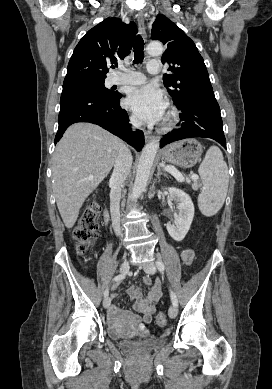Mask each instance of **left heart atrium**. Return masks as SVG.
I'll list each match as a JSON object with an SVG mask.
<instances>
[{
	"mask_svg": "<svg viewBox=\"0 0 272 389\" xmlns=\"http://www.w3.org/2000/svg\"><path fill=\"white\" fill-rule=\"evenodd\" d=\"M125 104L140 120L148 123L160 121L167 106L162 91L153 85L133 88Z\"/></svg>",
	"mask_w": 272,
	"mask_h": 389,
	"instance_id": "obj_1",
	"label": "left heart atrium"
}]
</instances>
